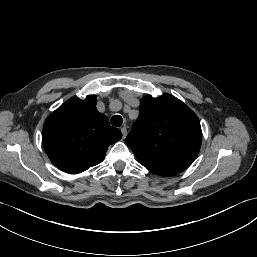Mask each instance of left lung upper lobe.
<instances>
[{
  "mask_svg": "<svg viewBox=\"0 0 257 257\" xmlns=\"http://www.w3.org/2000/svg\"><path fill=\"white\" fill-rule=\"evenodd\" d=\"M202 141L195 113L170 94L143 97L140 115L126 137L138 161L155 174H177L197 156Z\"/></svg>",
  "mask_w": 257,
  "mask_h": 257,
  "instance_id": "5c2ea615",
  "label": "left lung upper lobe"
}]
</instances>
